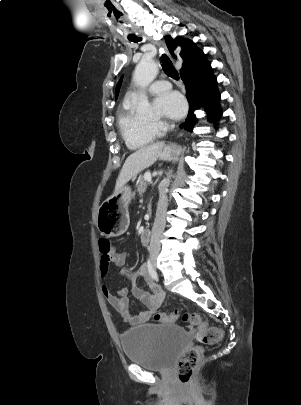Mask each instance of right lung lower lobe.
<instances>
[{"mask_svg": "<svg viewBox=\"0 0 301 405\" xmlns=\"http://www.w3.org/2000/svg\"><path fill=\"white\" fill-rule=\"evenodd\" d=\"M181 78L186 86V97L190 108L185 123L180 126L192 131L197 121L193 112L201 105L207 112L209 121L218 122L222 116L219 104L220 93L217 90V80L209 62L205 59L193 67L181 71Z\"/></svg>", "mask_w": 301, "mask_h": 405, "instance_id": "98d812e1", "label": "right lung lower lobe"}]
</instances>
